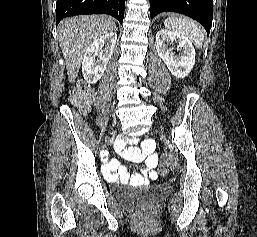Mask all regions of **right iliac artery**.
Segmentation results:
<instances>
[{
	"label": "right iliac artery",
	"instance_id": "right-iliac-artery-1",
	"mask_svg": "<svg viewBox=\"0 0 257 237\" xmlns=\"http://www.w3.org/2000/svg\"><path fill=\"white\" fill-rule=\"evenodd\" d=\"M101 155H102V156H105V155H106V152H105V151H102V152H101Z\"/></svg>",
	"mask_w": 257,
	"mask_h": 237
}]
</instances>
